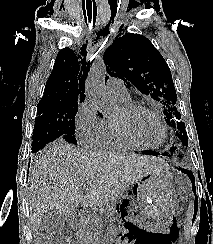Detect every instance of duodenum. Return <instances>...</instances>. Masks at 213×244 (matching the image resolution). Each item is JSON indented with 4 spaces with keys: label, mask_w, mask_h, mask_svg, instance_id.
<instances>
[{
    "label": "duodenum",
    "mask_w": 213,
    "mask_h": 244,
    "mask_svg": "<svg viewBox=\"0 0 213 244\" xmlns=\"http://www.w3.org/2000/svg\"><path fill=\"white\" fill-rule=\"evenodd\" d=\"M70 220L72 221V222H77V217H76V215H71L70 216Z\"/></svg>",
    "instance_id": "obj_1"
}]
</instances>
